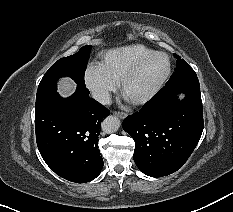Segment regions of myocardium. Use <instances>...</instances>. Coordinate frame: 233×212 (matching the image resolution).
<instances>
[{"label": "myocardium", "mask_w": 233, "mask_h": 212, "mask_svg": "<svg viewBox=\"0 0 233 212\" xmlns=\"http://www.w3.org/2000/svg\"><path fill=\"white\" fill-rule=\"evenodd\" d=\"M156 56H164L167 60V69L160 80L144 95L138 98L130 99L126 96V88L130 81L139 73L142 67L152 58ZM171 74V60L169 56L164 52H153L142 59H140L121 79L120 87L123 95L132 103L133 105H143L149 102L164 86Z\"/></svg>", "instance_id": "myocardium-1"}]
</instances>
